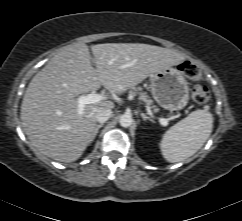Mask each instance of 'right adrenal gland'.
Segmentation results:
<instances>
[{"mask_svg":"<svg viewBox=\"0 0 242 221\" xmlns=\"http://www.w3.org/2000/svg\"><path fill=\"white\" fill-rule=\"evenodd\" d=\"M104 124L103 123H100L98 125H96V128H95V132H94V138L96 137L99 129L103 126Z\"/></svg>","mask_w":242,"mask_h":221,"instance_id":"obj_1","label":"right adrenal gland"}]
</instances>
